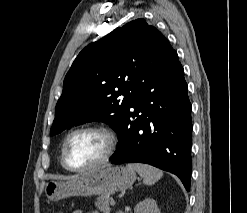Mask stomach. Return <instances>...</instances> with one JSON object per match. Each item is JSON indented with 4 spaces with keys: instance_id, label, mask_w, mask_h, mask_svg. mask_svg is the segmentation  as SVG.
Instances as JSON below:
<instances>
[{
    "instance_id": "stomach-1",
    "label": "stomach",
    "mask_w": 247,
    "mask_h": 213,
    "mask_svg": "<svg viewBox=\"0 0 247 213\" xmlns=\"http://www.w3.org/2000/svg\"><path fill=\"white\" fill-rule=\"evenodd\" d=\"M136 174L123 166H108L77 175L66 182L48 181L45 195L50 201L70 196H94L122 191L134 183Z\"/></svg>"
}]
</instances>
